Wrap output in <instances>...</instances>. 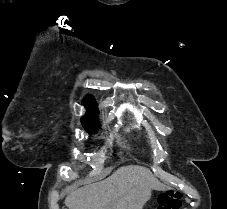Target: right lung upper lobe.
I'll use <instances>...</instances> for the list:
<instances>
[{"mask_svg":"<svg viewBox=\"0 0 227 209\" xmlns=\"http://www.w3.org/2000/svg\"><path fill=\"white\" fill-rule=\"evenodd\" d=\"M83 104L89 109L87 114L82 117V119L86 118H95L97 114L96 103L92 96H88L84 101ZM81 119V120H82Z\"/></svg>","mask_w":227,"mask_h":209,"instance_id":"1","label":"right lung upper lobe"}]
</instances>
